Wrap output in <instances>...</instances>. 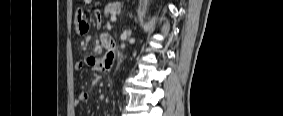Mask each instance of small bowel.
I'll return each mask as SVG.
<instances>
[{"mask_svg": "<svg viewBox=\"0 0 283 116\" xmlns=\"http://www.w3.org/2000/svg\"><path fill=\"white\" fill-rule=\"evenodd\" d=\"M98 24L101 23V14L100 11H95ZM76 18L78 21V27L76 33L78 36H84L88 31V23L84 20V13L82 10H78L76 13ZM101 42L104 43L106 41V35H101ZM113 61V54L110 52L103 58H95L91 56H87L82 60L78 61L75 65L76 71H82L85 68H90L95 72H107L109 71L111 64ZM91 95L88 91H81L76 99V104L80 102H86L90 99Z\"/></svg>", "mask_w": 283, "mask_h": 116, "instance_id": "c3829d8e", "label": "small bowel"}]
</instances>
